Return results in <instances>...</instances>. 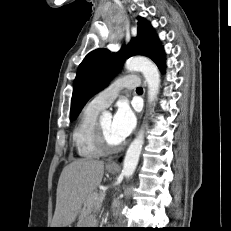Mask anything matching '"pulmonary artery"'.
<instances>
[{
    "label": "pulmonary artery",
    "mask_w": 231,
    "mask_h": 231,
    "mask_svg": "<svg viewBox=\"0 0 231 231\" xmlns=\"http://www.w3.org/2000/svg\"><path fill=\"white\" fill-rule=\"evenodd\" d=\"M140 84V80L135 74H128L117 79L110 86L97 94L89 103L92 107L103 110L107 108L118 96L119 92L124 89H134Z\"/></svg>",
    "instance_id": "obj_1"
}]
</instances>
